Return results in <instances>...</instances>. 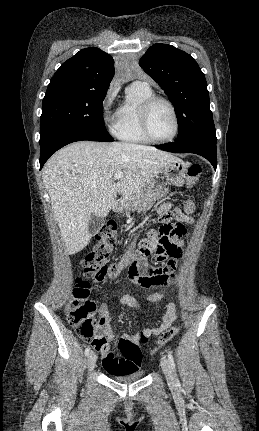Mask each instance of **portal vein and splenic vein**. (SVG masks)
Returning a JSON list of instances; mask_svg holds the SVG:
<instances>
[{
    "mask_svg": "<svg viewBox=\"0 0 259 431\" xmlns=\"http://www.w3.org/2000/svg\"><path fill=\"white\" fill-rule=\"evenodd\" d=\"M122 177H123V172L122 171H118L114 175V178L117 179V180L120 179V178H122Z\"/></svg>",
    "mask_w": 259,
    "mask_h": 431,
    "instance_id": "1",
    "label": "portal vein and splenic vein"
}]
</instances>
